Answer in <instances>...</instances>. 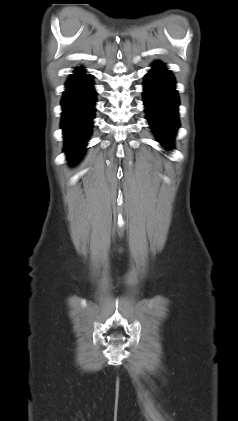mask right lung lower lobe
<instances>
[{"label":"right lung lower lobe","instance_id":"obj_1","mask_svg":"<svg viewBox=\"0 0 238 421\" xmlns=\"http://www.w3.org/2000/svg\"><path fill=\"white\" fill-rule=\"evenodd\" d=\"M62 99L61 127L65 137V151L71 161L77 160L88 141L94 117L95 91L90 76L78 70L66 84Z\"/></svg>","mask_w":238,"mask_h":421}]
</instances>
